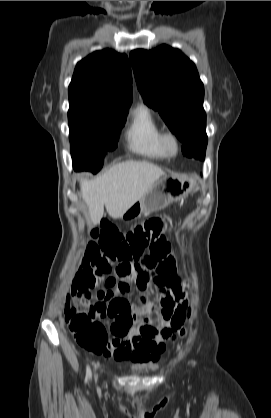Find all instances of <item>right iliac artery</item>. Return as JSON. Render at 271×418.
<instances>
[{
    "instance_id": "82829eb1",
    "label": "right iliac artery",
    "mask_w": 271,
    "mask_h": 418,
    "mask_svg": "<svg viewBox=\"0 0 271 418\" xmlns=\"http://www.w3.org/2000/svg\"><path fill=\"white\" fill-rule=\"evenodd\" d=\"M86 376L87 378L91 379V369L89 366H87V369H86Z\"/></svg>"
}]
</instances>
